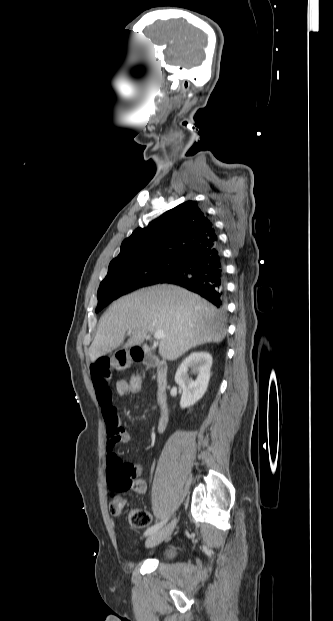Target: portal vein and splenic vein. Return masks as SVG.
<instances>
[{
  "label": "portal vein and splenic vein",
  "mask_w": 333,
  "mask_h": 621,
  "mask_svg": "<svg viewBox=\"0 0 333 621\" xmlns=\"http://www.w3.org/2000/svg\"><path fill=\"white\" fill-rule=\"evenodd\" d=\"M132 332H133V330H132V329H129V330H128V333H129V334H131ZM154 338H155L156 340L164 339V338H165V334H164V332H163L162 330H158V331H156V332L154 333Z\"/></svg>",
  "instance_id": "portal-vein-and-splenic-vein-1"
}]
</instances>
